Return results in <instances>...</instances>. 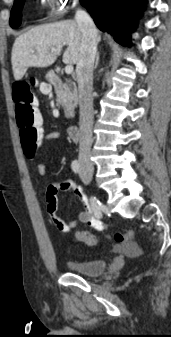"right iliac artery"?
<instances>
[{"label": "right iliac artery", "mask_w": 171, "mask_h": 337, "mask_svg": "<svg viewBox=\"0 0 171 337\" xmlns=\"http://www.w3.org/2000/svg\"><path fill=\"white\" fill-rule=\"evenodd\" d=\"M71 167H72V170L75 172V173H79L80 172V163L78 160H74L71 164ZM90 203H91V206L95 212V215L98 217V218H101L102 217V212H101V203L99 200L96 199V197H91L90 198Z\"/></svg>", "instance_id": "82829eb1"}]
</instances>
